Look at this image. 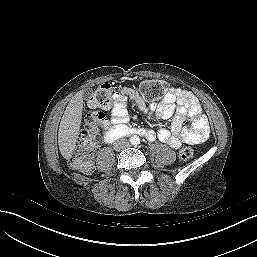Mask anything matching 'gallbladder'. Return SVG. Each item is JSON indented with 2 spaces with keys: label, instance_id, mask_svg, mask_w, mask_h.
<instances>
[{
  "label": "gallbladder",
  "instance_id": "obj_1",
  "mask_svg": "<svg viewBox=\"0 0 257 257\" xmlns=\"http://www.w3.org/2000/svg\"><path fill=\"white\" fill-rule=\"evenodd\" d=\"M92 95V92L90 90H86L83 94L84 98H89Z\"/></svg>",
  "mask_w": 257,
  "mask_h": 257
}]
</instances>
